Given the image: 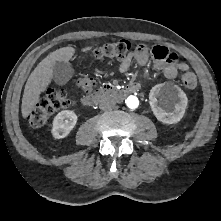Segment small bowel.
<instances>
[{
  "instance_id": "c3829d8e",
  "label": "small bowel",
  "mask_w": 221,
  "mask_h": 221,
  "mask_svg": "<svg viewBox=\"0 0 221 221\" xmlns=\"http://www.w3.org/2000/svg\"><path fill=\"white\" fill-rule=\"evenodd\" d=\"M150 56L155 62L157 69L168 79L176 78L179 72L189 71L188 65L179 62L178 56L171 50H168L164 46L157 45L150 51L144 44L138 45L132 53L121 60L117 66V70L121 73L127 72L133 60L140 66H144L147 64Z\"/></svg>"
}]
</instances>
